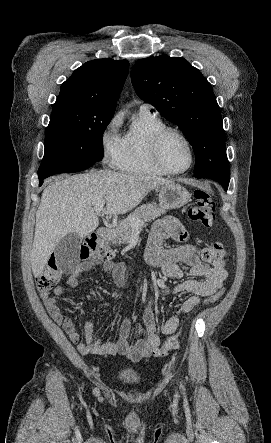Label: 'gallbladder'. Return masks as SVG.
Segmentation results:
<instances>
[{
    "instance_id": "1",
    "label": "gallbladder",
    "mask_w": 271,
    "mask_h": 443,
    "mask_svg": "<svg viewBox=\"0 0 271 443\" xmlns=\"http://www.w3.org/2000/svg\"><path fill=\"white\" fill-rule=\"evenodd\" d=\"M81 243L82 237L74 231L62 237L57 243L55 253L59 263V273H74L75 269H81V251H79Z\"/></svg>"
}]
</instances>
